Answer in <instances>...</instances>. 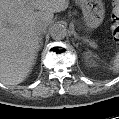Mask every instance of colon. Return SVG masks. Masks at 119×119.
<instances>
[{"label": "colon", "mask_w": 119, "mask_h": 119, "mask_svg": "<svg viewBox=\"0 0 119 119\" xmlns=\"http://www.w3.org/2000/svg\"><path fill=\"white\" fill-rule=\"evenodd\" d=\"M112 33L115 41H119V3L114 2L111 8Z\"/></svg>", "instance_id": "obj_1"}]
</instances>
